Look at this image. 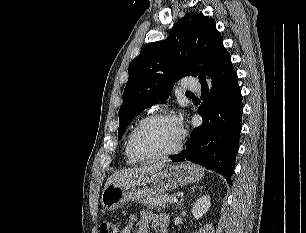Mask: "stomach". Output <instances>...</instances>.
Instances as JSON below:
<instances>
[{
    "instance_id": "obj_1",
    "label": "stomach",
    "mask_w": 306,
    "mask_h": 233,
    "mask_svg": "<svg viewBox=\"0 0 306 233\" xmlns=\"http://www.w3.org/2000/svg\"><path fill=\"white\" fill-rule=\"evenodd\" d=\"M203 176L204 170L198 165L173 164L163 170L110 184L104 189L101 202L106 210H114L125 202L158 196L168 190L192 184Z\"/></svg>"
}]
</instances>
